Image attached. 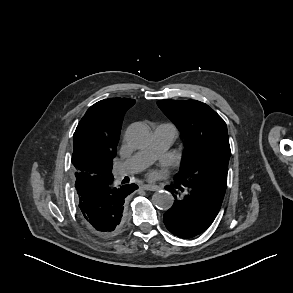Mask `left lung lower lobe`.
Returning <instances> with one entry per match:
<instances>
[{"instance_id": "1", "label": "left lung lower lobe", "mask_w": 293, "mask_h": 293, "mask_svg": "<svg viewBox=\"0 0 293 293\" xmlns=\"http://www.w3.org/2000/svg\"><path fill=\"white\" fill-rule=\"evenodd\" d=\"M169 190L175 202L164 214L167 229L180 238H191L205 231L216 218L224 198L221 192L196 182L174 180Z\"/></svg>"}]
</instances>
